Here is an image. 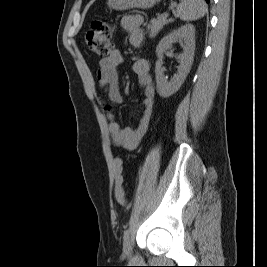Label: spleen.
<instances>
[{"mask_svg":"<svg viewBox=\"0 0 267 267\" xmlns=\"http://www.w3.org/2000/svg\"><path fill=\"white\" fill-rule=\"evenodd\" d=\"M176 13L183 21H194L207 13V6L204 0H180Z\"/></svg>","mask_w":267,"mask_h":267,"instance_id":"obj_1","label":"spleen"}]
</instances>
